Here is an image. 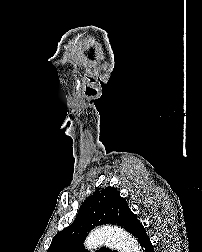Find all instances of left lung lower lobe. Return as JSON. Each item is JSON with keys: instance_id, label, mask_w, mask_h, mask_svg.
<instances>
[{"instance_id": "obj_1", "label": "left lung lower lobe", "mask_w": 202, "mask_h": 252, "mask_svg": "<svg viewBox=\"0 0 202 252\" xmlns=\"http://www.w3.org/2000/svg\"><path fill=\"white\" fill-rule=\"evenodd\" d=\"M131 234L138 240L143 252H154L153 245L146 234L145 228L140 222H137L134 225Z\"/></svg>"}]
</instances>
